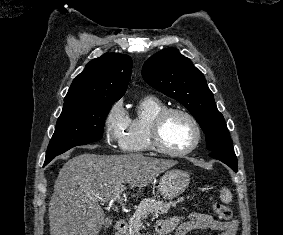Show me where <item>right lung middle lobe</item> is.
<instances>
[{"label": "right lung middle lobe", "instance_id": "1", "mask_svg": "<svg viewBox=\"0 0 283 235\" xmlns=\"http://www.w3.org/2000/svg\"><path fill=\"white\" fill-rule=\"evenodd\" d=\"M114 102L64 103L47 148L45 163L72 147L102 139L105 118Z\"/></svg>", "mask_w": 283, "mask_h": 235}]
</instances>
